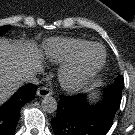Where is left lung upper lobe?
Here are the masks:
<instances>
[{
  "label": "left lung upper lobe",
  "instance_id": "1",
  "mask_svg": "<svg viewBox=\"0 0 135 135\" xmlns=\"http://www.w3.org/2000/svg\"><path fill=\"white\" fill-rule=\"evenodd\" d=\"M115 82L123 85L124 84V79H123V77L121 75H119Z\"/></svg>",
  "mask_w": 135,
  "mask_h": 135
}]
</instances>
